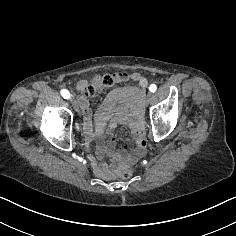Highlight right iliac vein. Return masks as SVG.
I'll list each match as a JSON object with an SVG mask.
<instances>
[{
	"label": "right iliac vein",
	"instance_id": "1",
	"mask_svg": "<svg viewBox=\"0 0 236 236\" xmlns=\"http://www.w3.org/2000/svg\"><path fill=\"white\" fill-rule=\"evenodd\" d=\"M70 101H71V103H72L73 106H74V111H79V106H78V104L75 102V100L72 98Z\"/></svg>",
	"mask_w": 236,
	"mask_h": 236
}]
</instances>
